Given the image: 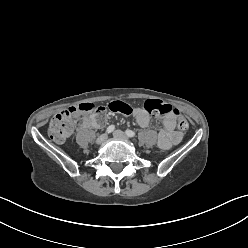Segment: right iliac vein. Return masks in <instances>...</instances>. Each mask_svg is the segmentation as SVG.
Instances as JSON below:
<instances>
[{"label":"right iliac vein","mask_w":248,"mask_h":248,"mask_svg":"<svg viewBox=\"0 0 248 248\" xmlns=\"http://www.w3.org/2000/svg\"><path fill=\"white\" fill-rule=\"evenodd\" d=\"M107 138H108L107 134H102L97 138L96 143L103 144L107 140Z\"/></svg>","instance_id":"63e3f726"}]
</instances>
